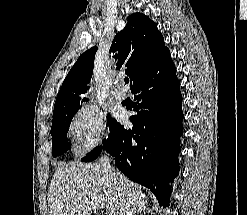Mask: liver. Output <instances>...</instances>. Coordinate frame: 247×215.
<instances>
[{"label": "liver", "instance_id": "6515ba94", "mask_svg": "<svg viewBox=\"0 0 247 215\" xmlns=\"http://www.w3.org/2000/svg\"><path fill=\"white\" fill-rule=\"evenodd\" d=\"M111 180L100 163H72L59 167L48 190L49 215H89L95 198L102 199L107 215L145 211L147 197L123 174Z\"/></svg>", "mask_w": 247, "mask_h": 215}]
</instances>
